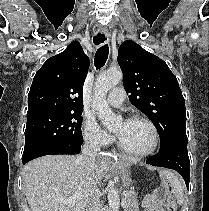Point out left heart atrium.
Returning a JSON list of instances; mask_svg holds the SVG:
<instances>
[{
    "instance_id": "1",
    "label": "left heart atrium",
    "mask_w": 209,
    "mask_h": 211,
    "mask_svg": "<svg viewBox=\"0 0 209 211\" xmlns=\"http://www.w3.org/2000/svg\"><path fill=\"white\" fill-rule=\"evenodd\" d=\"M128 122H129V121L127 120V121H125V122H123V123H124V125H126Z\"/></svg>"
}]
</instances>
